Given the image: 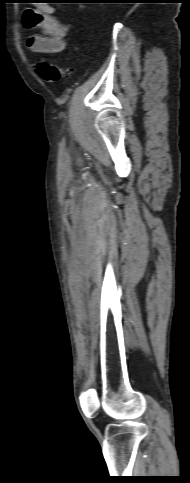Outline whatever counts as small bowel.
<instances>
[{
    "label": "small bowel",
    "instance_id": "c3829d8e",
    "mask_svg": "<svg viewBox=\"0 0 190 483\" xmlns=\"http://www.w3.org/2000/svg\"><path fill=\"white\" fill-rule=\"evenodd\" d=\"M54 8L43 5L40 8L25 10L22 20L28 29H40L41 34H33L27 38V47L34 53L58 54L65 47L67 28L53 15Z\"/></svg>",
    "mask_w": 190,
    "mask_h": 483
}]
</instances>
